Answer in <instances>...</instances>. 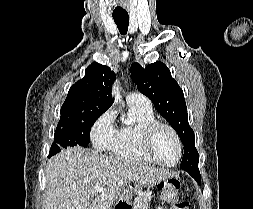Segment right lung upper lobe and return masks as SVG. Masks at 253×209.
Segmentation results:
<instances>
[{"mask_svg": "<svg viewBox=\"0 0 253 209\" xmlns=\"http://www.w3.org/2000/svg\"><path fill=\"white\" fill-rule=\"evenodd\" d=\"M116 75L108 66L92 63L85 76L69 89L59 122L89 113H104L113 104L111 86Z\"/></svg>", "mask_w": 253, "mask_h": 209, "instance_id": "cb5924a9", "label": "right lung upper lobe"}]
</instances>
